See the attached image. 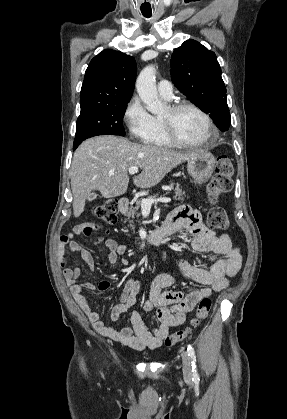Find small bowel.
Segmentation results:
<instances>
[{
	"mask_svg": "<svg viewBox=\"0 0 287 419\" xmlns=\"http://www.w3.org/2000/svg\"><path fill=\"white\" fill-rule=\"evenodd\" d=\"M164 225L170 226L173 231L182 228L188 230L192 236V248L197 252L213 253L211 257L213 264L209 269H203L193 266L183 259L178 261L183 275L202 284L203 288L201 289L189 292H163V288L172 285L176 281L175 276L170 273H161L153 279L149 290V298L145 301L143 309L146 312L153 313L159 321V326L154 332L147 328L140 313L137 311L132 312L130 315V327L116 329L105 325L99 319L97 312L92 309L82 290L89 289L104 293L111 287V282L104 280L97 285L91 282L79 284L76 280L81 276V268H68L66 254L70 252L78 253L90 269L94 268V260L90 252L75 240V237L79 234L89 235L95 228L93 224H79L69 233L61 235L56 250L59 265L63 269V275L71 293L93 327L102 335L135 350L160 347L163 340L168 336L171 327L181 325L185 321L187 314L203 298L209 297L213 292L225 289L228 286V277L235 276L241 267L242 257L240 250L233 246L229 235H215L214 232L204 225L197 210L188 206H179L167 217ZM104 245L109 251L108 261L110 265L115 266L120 257L124 264L128 263L125 258L126 246L117 243L112 238L107 239ZM139 288V283L135 279H129L126 282L119 303L111 312L113 321H117L123 313L135 304Z\"/></svg>",
	"mask_w": 287,
	"mask_h": 419,
	"instance_id": "1",
	"label": "small bowel"
}]
</instances>
